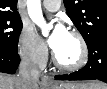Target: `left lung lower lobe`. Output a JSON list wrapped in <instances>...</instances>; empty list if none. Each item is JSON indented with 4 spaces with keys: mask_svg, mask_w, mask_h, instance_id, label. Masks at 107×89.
Masks as SVG:
<instances>
[{
    "mask_svg": "<svg viewBox=\"0 0 107 89\" xmlns=\"http://www.w3.org/2000/svg\"><path fill=\"white\" fill-rule=\"evenodd\" d=\"M89 60L81 70L64 75H56V80H101L107 83V34L101 35L87 44Z\"/></svg>",
    "mask_w": 107,
    "mask_h": 89,
    "instance_id": "left-lung-lower-lobe-1",
    "label": "left lung lower lobe"
}]
</instances>
